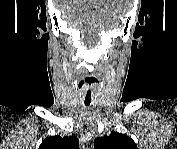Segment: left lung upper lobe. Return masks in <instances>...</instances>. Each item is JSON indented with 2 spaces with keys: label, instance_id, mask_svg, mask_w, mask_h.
Masks as SVG:
<instances>
[{
  "label": "left lung upper lobe",
  "instance_id": "obj_1",
  "mask_svg": "<svg viewBox=\"0 0 177 149\" xmlns=\"http://www.w3.org/2000/svg\"><path fill=\"white\" fill-rule=\"evenodd\" d=\"M95 149H137L134 141L118 132H112L109 136L97 138L94 141Z\"/></svg>",
  "mask_w": 177,
  "mask_h": 149
}]
</instances>
